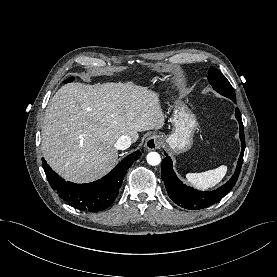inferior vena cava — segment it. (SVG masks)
Instances as JSON below:
<instances>
[{
	"mask_svg": "<svg viewBox=\"0 0 277 277\" xmlns=\"http://www.w3.org/2000/svg\"><path fill=\"white\" fill-rule=\"evenodd\" d=\"M131 143L132 139L127 135H123L118 138V140L115 143V147L118 150H125L131 146Z\"/></svg>",
	"mask_w": 277,
	"mask_h": 277,
	"instance_id": "1",
	"label": "inferior vena cava"
}]
</instances>
